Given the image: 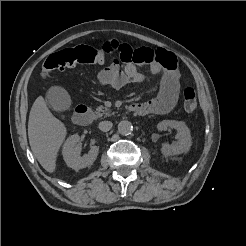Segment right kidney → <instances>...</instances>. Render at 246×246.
Segmentation results:
<instances>
[{"mask_svg": "<svg viewBox=\"0 0 246 246\" xmlns=\"http://www.w3.org/2000/svg\"><path fill=\"white\" fill-rule=\"evenodd\" d=\"M81 143L78 134L70 136L63 145L62 154L68 167L79 170L88 167L96 160L99 147L91 146L88 154L80 156Z\"/></svg>", "mask_w": 246, "mask_h": 246, "instance_id": "ca27d5eb", "label": "right kidney"}]
</instances>
